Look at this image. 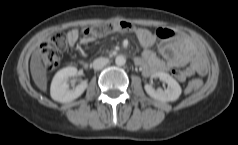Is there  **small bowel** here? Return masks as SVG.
Returning <instances> with one entry per match:
<instances>
[{"label": "small bowel", "instance_id": "small-bowel-1", "mask_svg": "<svg viewBox=\"0 0 238 145\" xmlns=\"http://www.w3.org/2000/svg\"><path fill=\"white\" fill-rule=\"evenodd\" d=\"M140 44L145 48L143 53L135 58V64L138 65L145 76L166 72L174 67H184L181 71H174L177 79L181 82L193 74L204 75L207 67L200 53L189 43H175L172 40L162 42L160 49L163 53H175L171 59H162L152 49L156 37L168 38L171 31L168 29H158L156 33H151L148 29L137 28L133 31ZM71 44L78 40L76 31L68 34Z\"/></svg>", "mask_w": 238, "mask_h": 145}]
</instances>
